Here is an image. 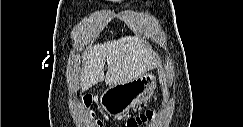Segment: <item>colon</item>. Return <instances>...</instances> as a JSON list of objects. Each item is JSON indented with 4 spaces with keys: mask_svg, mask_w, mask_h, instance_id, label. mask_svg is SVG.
I'll use <instances>...</instances> for the list:
<instances>
[{
    "mask_svg": "<svg viewBox=\"0 0 243 127\" xmlns=\"http://www.w3.org/2000/svg\"><path fill=\"white\" fill-rule=\"evenodd\" d=\"M82 104L85 108H90L92 105V96L87 94L82 98ZM155 116V111L147 110L136 116L129 118L125 124L126 127H140L146 124L148 121L153 119ZM98 125H101V121H97Z\"/></svg>",
    "mask_w": 243,
    "mask_h": 127,
    "instance_id": "5ec220e1",
    "label": "colon"
}]
</instances>
